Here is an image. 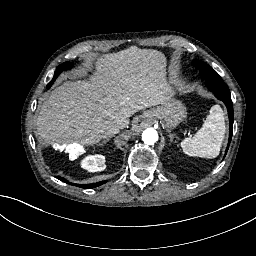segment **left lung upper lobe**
<instances>
[{
  "mask_svg": "<svg viewBox=\"0 0 256 256\" xmlns=\"http://www.w3.org/2000/svg\"><path fill=\"white\" fill-rule=\"evenodd\" d=\"M193 65L200 70V74L202 78L205 79L206 86L213 91L214 95L222 100L228 110V116H229V142L226 148L225 155L228 151L232 134H233V103L231 101V95L230 91L228 89V86L222 81L221 77L217 74L216 71H214L209 65H207L205 62L201 60H193Z\"/></svg>",
  "mask_w": 256,
  "mask_h": 256,
  "instance_id": "obj_1",
  "label": "left lung upper lobe"
}]
</instances>
